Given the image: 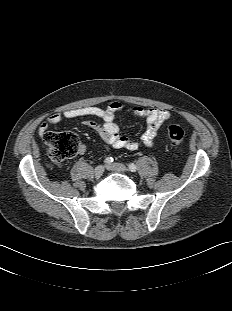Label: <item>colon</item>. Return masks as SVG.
Masks as SVG:
<instances>
[{
	"instance_id": "1",
	"label": "colon",
	"mask_w": 232,
	"mask_h": 311,
	"mask_svg": "<svg viewBox=\"0 0 232 311\" xmlns=\"http://www.w3.org/2000/svg\"><path fill=\"white\" fill-rule=\"evenodd\" d=\"M170 141L174 145H180L184 132L178 125H171L168 130ZM49 151L50 162L59 165L73 157L79 149L78 137L71 132H48L44 137Z\"/></svg>"
}]
</instances>
